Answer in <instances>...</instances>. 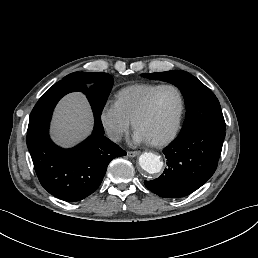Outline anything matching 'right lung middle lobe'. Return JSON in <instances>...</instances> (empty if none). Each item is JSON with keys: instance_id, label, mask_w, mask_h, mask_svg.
I'll return each instance as SVG.
<instances>
[{"instance_id": "1", "label": "right lung middle lobe", "mask_w": 258, "mask_h": 258, "mask_svg": "<svg viewBox=\"0 0 258 258\" xmlns=\"http://www.w3.org/2000/svg\"><path fill=\"white\" fill-rule=\"evenodd\" d=\"M64 79H77L85 83H98L94 91L91 107L95 114L101 115L113 85V78L108 73L74 72L65 76Z\"/></svg>"}]
</instances>
